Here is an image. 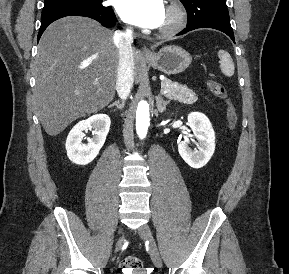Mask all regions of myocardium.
<instances>
[{"instance_id":"f54148a6","label":"myocardium","mask_w":289,"mask_h":274,"mask_svg":"<svg viewBox=\"0 0 289 274\" xmlns=\"http://www.w3.org/2000/svg\"><path fill=\"white\" fill-rule=\"evenodd\" d=\"M166 10L170 15V21L158 29V34L169 37L177 34L184 28L187 21V13L184 6L178 1H171L167 5Z\"/></svg>"}]
</instances>
